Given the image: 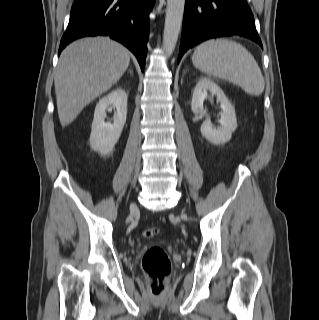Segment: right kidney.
Returning a JSON list of instances; mask_svg holds the SVG:
<instances>
[{
	"mask_svg": "<svg viewBox=\"0 0 319 320\" xmlns=\"http://www.w3.org/2000/svg\"><path fill=\"white\" fill-rule=\"evenodd\" d=\"M116 110L113 124L105 123L106 111ZM127 116V94L117 88L99 100L91 126L90 146L101 155L109 154L120 138Z\"/></svg>",
	"mask_w": 319,
	"mask_h": 320,
	"instance_id": "right-kidney-1",
	"label": "right kidney"
}]
</instances>
